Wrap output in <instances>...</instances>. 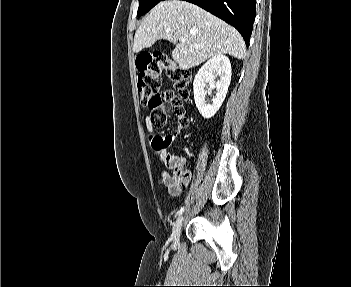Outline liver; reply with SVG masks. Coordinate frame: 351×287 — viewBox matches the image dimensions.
Listing matches in <instances>:
<instances>
[{"instance_id":"6515ba94","label":"liver","mask_w":351,"mask_h":287,"mask_svg":"<svg viewBox=\"0 0 351 287\" xmlns=\"http://www.w3.org/2000/svg\"><path fill=\"white\" fill-rule=\"evenodd\" d=\"M180 38L186 41L181 42ZM159 39L176 44L172 58L182 70L215 55L229 54L243 59L246 53L245 42L234 27L181 0L162 1L150 11L135 33L133 51L139 53Z\"/></svg>"}]
</instances>
